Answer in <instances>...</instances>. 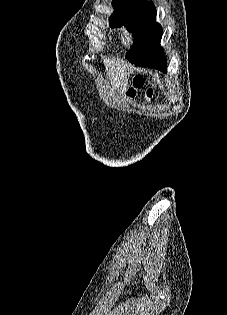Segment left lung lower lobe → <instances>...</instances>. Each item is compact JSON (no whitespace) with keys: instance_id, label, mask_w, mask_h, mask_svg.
<instances>
[{"instance_id":"obj_1","label":"left lung lower lobe","mask_w":227,"mask_h":315,"mask_svg":"<svg viewBox=\"0 0 227 315\" xmlns=\"http://www.w3.org/2000/svg\"><path fill=\"white\" fill-rule=\"evenodd\" d=\"M128 60L138 66L153 67L166 73L167 62L165 55L158 42L149 37L142 39L132 47Z\"/></svg>"}]
</instances>
